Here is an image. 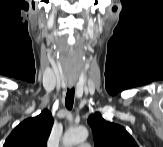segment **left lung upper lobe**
<instances>
[{"instance_id":"1","label":"left lung upper lobe","mask_w":163,"mask_h":147,"mask_svg":"<svg viewBox=\"0 0 163 147\" xmlns=\"http://www.w3.org/2000/svg\"><path fill=\"white\" fill-rule=\"evenodd\" d=\"M88 123L93 130L95 147H138L123 126L104 120L98 112L89 116Z\"/></svg>"}]
</instances>
